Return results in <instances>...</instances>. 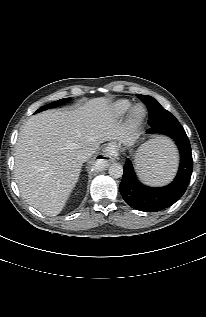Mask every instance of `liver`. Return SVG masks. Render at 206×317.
Instances as JSON below:
<instances>
[{"label": "liver", "mask_w": 206, "mask_h": 317, "mask_svg": "<svg viewBox=\"0 0 206 317\" xmlns=\"http://www.w3.org/2000/svg\"><path fill=\"white\" fill-rule=\"evenodd\" d=\"M127 132L104 97L71 111L47 110L31 116L15 146V179L22 197L44 214L58 215L81 172L79 151L95 153L105 141L128 140Z\"/></svg>", "instance_id": "obj_1"}]
</instances>
